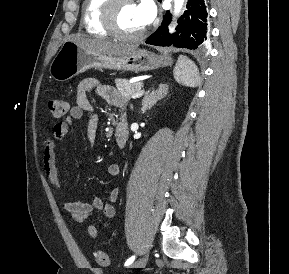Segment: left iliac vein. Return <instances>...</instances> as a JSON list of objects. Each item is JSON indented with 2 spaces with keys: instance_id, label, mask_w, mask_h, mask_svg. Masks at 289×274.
Here are the masks:
<instances>
[{
  "instance_id": "left-iliac-vein-1",
  "label": "left iliac vein",
  "mask_w": 289,
  "mask_h": 274,
  "mask_svg": "<svg viewBox=\"0 0 289 274\" xmlns=\"http://www.w3.org/2000/svg\"><path fill=\"white\" fill-rule=\"evenodd\" d=\"M148 261V257L144 256L139 258L137 261H135L134 263H132L129 268H142L145 267Z\"/></svg>"
}]
</instances>
